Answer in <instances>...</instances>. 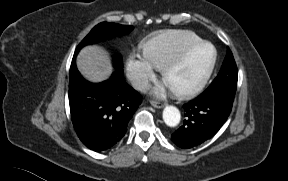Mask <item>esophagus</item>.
<instances>
[{
    "instance_id": "obj_1",
    "label": "esophagus",
    "mask_w": 288,
    "mask_h": 181,
    "mask_svg": "<svg viewBox=\"0 0 288 181\" xmlns=\"http://www.w3.org/2000/svg\"><path fill=\"white\" fill-rule=\"evenodd\" d=\"M151 105L155 108H163L165 104L158 102V101H151Z\"/></svg>"
}]
</instances>
